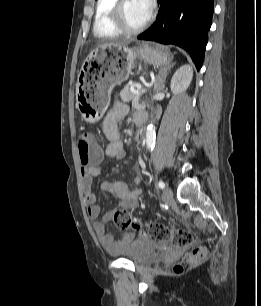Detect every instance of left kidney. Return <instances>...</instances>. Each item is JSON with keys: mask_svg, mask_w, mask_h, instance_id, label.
<instances>
[{"mask_svg": "<svg viewBox=\"0 0 261 306\" xmlns=\"http://www.w3.org/2000/svg\"><path fill=\"white\" fill-rule=\"evenodd\" d=\"M193 78V69L191 65L181 66L173 75L171 80V91L177 95L183 93L190 85Z\"/></svg>", "mask_w": 261, "mask_h": 306, "instance_id": "left-kidney-1", "label": "left kidney"}]
</instances>
